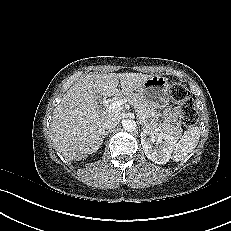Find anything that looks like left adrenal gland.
I'll list each match as a JSON object with an SVG mask.
<instances>
[{
    "mask_svg": "<svg viewBox=\"0 0 231 231\" xmlns=\"http://www.w3.org/2000/svg\"><path fill=\"white\" fill-rule=\"evenodd\" d=\"M140 124L143 126L144 130H148V127L145 124H143L142 122H140Z\"/></svg>",
    "mask_w": 231,
    "mask_h": 231,
    "instance_id": "1",
    "label": "left adrenal gland"
}]
</instances>
